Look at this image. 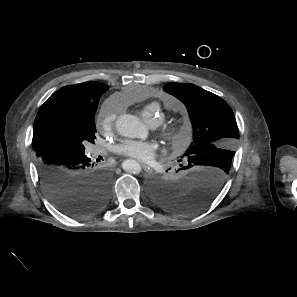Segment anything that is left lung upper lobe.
Masks as SVG:
<instances>
[{"label": "left lung upper lobe", "instance_id": "left-lung-upper-lobe-1", "mask_svg": "<svg viewBox=\"0 0 297 297\" xmlns=\"http://www.w3.org/2000/svg\"><path fill=\"white\" fill-rule=\"evenodd\" d=\"M164 90L181 100L193 125V142L182 156L188 165L222 166L228 174L239 130L232 109L219 96L193 84L168 83Z\"/></svg>", "mask_w": 297, "mask_h": 297}]
</instances>
